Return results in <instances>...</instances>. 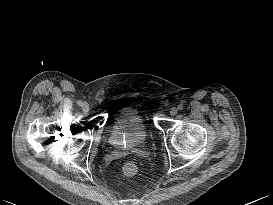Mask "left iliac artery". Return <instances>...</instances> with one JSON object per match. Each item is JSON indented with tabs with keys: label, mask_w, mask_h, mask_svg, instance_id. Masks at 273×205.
<instances>
[{
	"label": "left iliac artery",
	"mask_w": 273,
	"mask_h": 205,
	"mask_svg": "<svg viewBox=\"0 0 273 205\" xmlns=\"http://www.w3.org/2000/svg\"><path fill=\"white\" fill-rule=\"evenodd\" d=\"M178 109H179V110H183V105H181V104L178 105Z\"/></svg>",
	"instance_id": "44dca946"
}]
</instances>
